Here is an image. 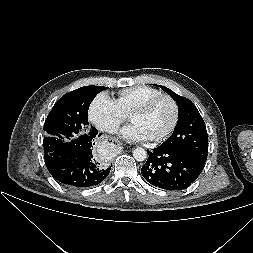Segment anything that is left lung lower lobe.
Returning <instances> with one entry per match:
<instances>
[{
  "label": "left lung lower lobe",
  "instance_id": "1",
  "mask_svg": "<svg viewBox=\"0 0 253 253\" xmlns=\"http://www.w3.org/2000/svg\"><path fill=\"white\" fill-rule=\"evenodd\" d=\"M147 152L149 157L141 174L150 184L166 190L186 189L198 178L205 164L191 154L162 145Z\"/></svg>",
  "mask_w": 253,
  "mask_h": 253
}]
</instances>
